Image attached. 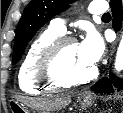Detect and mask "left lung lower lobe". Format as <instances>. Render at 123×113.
Segmentation results:
<instances>
[{"instance_id":"1","label":"left lung lower lobe","mask_w":123,"mask_h":113,"mask_svg":"<svg viewBox=\"0 0 123 113\" xmlns=\"http://www.w3.org/2000/svg\"><path fill=\"white\" fill-rule=\"evenodd\" d=\"M110 6L113 15L112 25L114 30L117 32L121 29L122 24V1L110 0ZM112 85L118 89H123V82L117 77H114L113 74H110V78L105 77L99 80L91 87V90L96 93H112Z\"/></svg>"}]
</instances>
